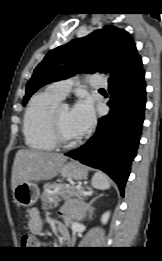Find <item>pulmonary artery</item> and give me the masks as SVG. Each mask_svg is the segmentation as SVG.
<instances>
[{"label":"pulmonary artery","mask_w":162,"mask_h":261,"mask_svg":"<svg viewBox=\"0 0 162 261\" xmlns=\"http://www.w3.org/2000/svg\"><path fill=\"white\" fill-rule=\"evenodd\" d=\"M74 85L75 81L73 79H65L49 84L47 89L60 99H63ZM90 86L94 89H105L108 87V82L103 77L95 75L90 78Z\"/></svg>","instance_id":"1"}]
</instances>
